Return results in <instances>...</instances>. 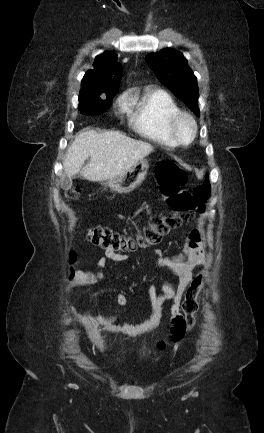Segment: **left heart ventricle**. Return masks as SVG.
<instances>
[{
  "instance_id": "1",
  "label": "left heart ventricle",
  "mask_w": 264,
  "mask_h": 433,
  "mask_svg": "<svg viewBox=\"0 0 264 433\" xmlns=\"http://www.w3.org/2000/svg\"><path fill=\"white\" fill-rule=\"evenodd\" d=\"M178 133L182 139L188 140L191 137L192 127L188 121H181L178 125Z\"/></svg>"
}]
</instances>
